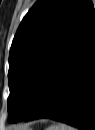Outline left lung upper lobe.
<instances>
[{
  "label": "left lung upper lobe",
  "instance_id": "1",
  "mask_svg": "<svg viewBox=\"0 0 95 130\" xmlns=\"http://www.w3.org/2000/svg\"><path fill=\"white\" fill-rule=\"evenodd\" d=\"M95 15L90 0H38L23 18L9 55L8 120L22 119L53 66Z\"/></svg>",
  "mask_w": 95,
  "mask_h": 130
}]
</instances>
